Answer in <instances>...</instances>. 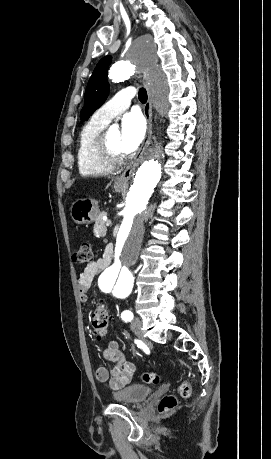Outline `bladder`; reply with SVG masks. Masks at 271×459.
Segmentation results:
<instances>
[{
  "label": "bladder",
  "instance_id": "bladder-1",
  "mask_svg": "<svg viewBox=\"0 0 271 459\" xmlns=\"http://www.w3.org/2000/svg\"><path fill=\"white\" fill-rule=\"evenodd\" d=\"M152 394L150 385H130L125 389L113 393V397L118 398V403L136 404L142 402Z\"/></svg>",
  "mask_w": 271,
  "mask_h": 459
}]
</instances>
